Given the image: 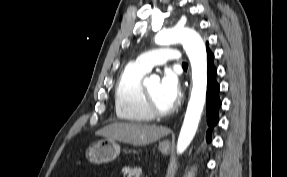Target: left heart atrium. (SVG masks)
<instances>
[{
    "instance_id": "39dd6f15",
    "label": "left heart atrium",
    "mask_w": 287,
    "mask_h": 177,
    "mask_svg": "<svg viewBox=\"0 0 287 177\" xmlns=\"http://www.w3.org/2000/svg\"><path fill=\"white\" fill-rule=\"evenodd\" d=\"M161 92L172 105L180 95V84L172 70H167L161 80Z\"/></svg>"
}]
</instances>
